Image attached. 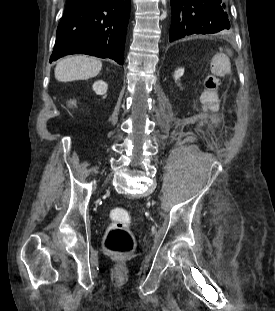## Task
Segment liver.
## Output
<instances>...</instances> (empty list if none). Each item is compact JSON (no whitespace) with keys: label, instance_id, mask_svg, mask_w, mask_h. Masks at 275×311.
<instances>
[{"label":"liver","instance_id":"liver-1","mask_svg":"<svg viewBox=\"0 0 275 311\" xmlns=\"http://www.w3.org/2000/svg\"><path fill=\"white\" fill-rule=\"evenodd\" d=\"M100 60L76 55L60 60L55 67V78L60 82L85 80L98 75L101 71Z\"/></svg>","mask_w":275,"mask_h":311}]
</instances>
